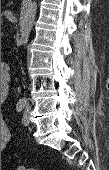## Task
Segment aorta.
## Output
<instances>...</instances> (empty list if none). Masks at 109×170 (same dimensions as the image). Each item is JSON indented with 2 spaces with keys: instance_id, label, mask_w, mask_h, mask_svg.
Wrapping results in <instances>:
<instances>
[{
  "instance_id": "762f6f07",
  "label": "aorta",
  "mask_w": 109,
  "mask_h": 170,
  "mask_svg": "<svg viewBox=\"0 0 109 170\" xmlns=\"http://www.w3.org/2000/svg\"><path fill=\"white\" fill-rule=\"evenodd\" d=\"M37 11V3L35 0H31L26 7L22 20H21V36H20V44L26 45L30 32L33 28L35 16Z\"/></svg>"
}]
</instances>
